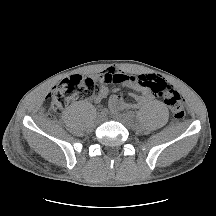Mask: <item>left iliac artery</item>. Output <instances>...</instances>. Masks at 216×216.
<instances>
[{
  "mask_svg": "<svg viewBox=\"0 0 216 216\" xmlns=\"http://www.w3.org/2000/svg\"><path fill=\"white\" fill-rule=\"evenodd\" d=\"M128 115L131 116L132 118L135 116L134 112H128Z\"/></svg>",
  "mask_w": 216,
  "mask_h": 216,
  "instance_id": "left-iliac-artery-1",
  "label": "left iliac artery"
}]
</instances>
